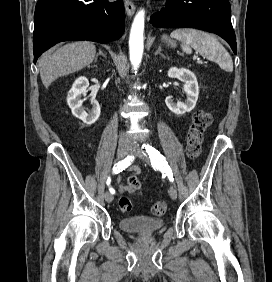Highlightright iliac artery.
Segmentation results:
<instances>
[{"instance_id": "right-iliac-artery-1", "label": "right iliac artery", "mask_w": 272, "mask_h": 282, "mask_svg": "<svg viewBox=\"0 0 272 282\" xmlns=\"http://www.w3.org/2000/svg\"><path fill=\"white\" fill-rule=\"evenodd\" d=\"M134 160V156H127L124 160H122L121 162H118L114 167H113V173L117 174L120 171L122 172L125 168H127L131 162ZM110 178H108L107 180V184L108 186L110 185ZM109 191L111 192V194H115V190L111 187H109Z\"/></svg>"}]
</instances>
